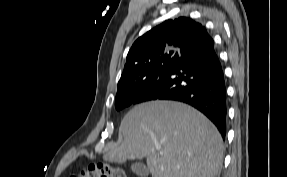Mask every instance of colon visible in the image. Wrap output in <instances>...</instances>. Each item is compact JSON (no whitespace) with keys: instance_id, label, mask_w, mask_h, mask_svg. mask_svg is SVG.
Instances as JSON below:
<instances>
[{"instance_id":"obj_1","label":"colon","mask_w":287,"mask_h":177,"mask_svg":"<svg viewBox=\"0 0 287 177\" xmlns=\"http://www.w3.org/2000/svg\"><path fill=\"white\" fill-rule=\"evenodd\" d=\"M72 177H126L122 169L105 162L94 163L76 171Z\"/></svg>"}]
</instances>
